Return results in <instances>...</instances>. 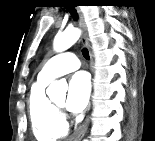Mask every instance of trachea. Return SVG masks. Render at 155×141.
Wrapping results in <instances>:
<instances>
[{"label": "trachea", "mask_w": 155, "mask_h": 141, "mask_svg": "<svg viewBox=\"0 0 155 141\" xmlns=\"http://www.w3.org/2000/svg\"><path fill=\"white\" fill-rule=\"evenodd\" d=\"M67 8H68L69 12L71 13L72 17L77 18V13H76L75 9L73 7H70V6H68ZM82 54H83L85 59L89 60V52L86 48H84L82 50Z\"/></svg>", "instance_id": "trachea-1"}]
</instances>
